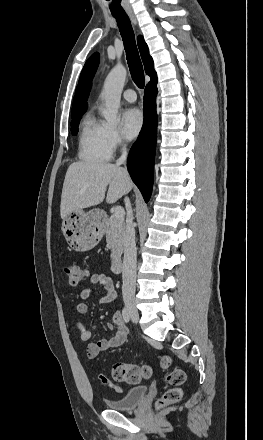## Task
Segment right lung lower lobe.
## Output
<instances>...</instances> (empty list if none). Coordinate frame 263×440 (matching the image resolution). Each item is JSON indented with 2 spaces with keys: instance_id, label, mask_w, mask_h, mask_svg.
I'll use <instances>...</instances> for the list:
<instances>
[{
  "instance_id": "1",
  "label": "right lung lower lobe",
  "mask_w": 263,
  "mask_h": 440,
  "mask_svg": "<svg viewBox=\"0 0 263 440\" xmlns=\"http://www.w3.org/2000/svg\"><path fill=\"white\" fill-rule=\"evenodd\" d=\"M157 78L152 79L144 91V123L137 141L127 159V168L133 182L147 202L151 196L157 137L156 114Z\"/></svg>"
}]
</instances>
